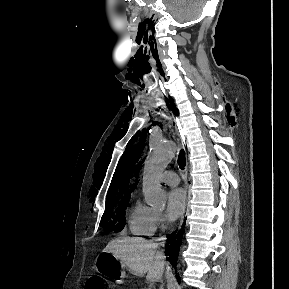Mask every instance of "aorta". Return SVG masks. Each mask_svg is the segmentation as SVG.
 <instances>
[{"mask_svg":"<svg viewBox=\"0 0 289 289\" xmlns=\"http://www.w3.org/2000/svg\"><path fill=\"white\" fill-rule=\"evenodd\" d=\"M176 153L173 142L157 138L150 144V151L144 164L143 193L145 201L152 207H164L166 193L157 181L161 173L174 158Z\"/></svg>","mask_w":289,"mask_h":289,"instance_id":"obj_1","label":"aorta"}]
</instances>
